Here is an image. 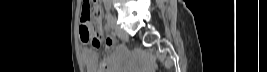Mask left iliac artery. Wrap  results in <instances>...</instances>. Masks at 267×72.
Wrapping results in <instances>:
<instances>
[{
	"mask_svg": "<svg viewBox=\"0 0 267 72\" xmlns=\"http://www.w3.org/2000/svg\"><path fill=\"white\" fill-rule=\"evenodd\" d=\"M104 6L107 11V27L111 29L113 28L112 15L110 13L111 4L109 1H105Z\"/></svg>",
	"mask_w": 267,
	"mask_h": 72,
	"instance_id": "obj_1",
	"label": "left iliac artery"
}]
</instances>
